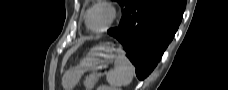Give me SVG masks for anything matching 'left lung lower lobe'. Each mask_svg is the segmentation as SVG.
Listing matches in <instances>:
<instances>
[{"mask_svg": "<svg viewBox=\"0 0 228 90\" xmlns=\"http://www.w3.org/2000/svg\"><path fill=\"white\" fill-rule=\"evenodd\" d=\"M186 0H129L116 28L108 30L127 51L139 79L157 65L181 22Z\"/></svg>", "mask_w": 228, "mask_h": 90, "instance_id": "obj_1", "label": "left lung lower lobe"}]
</instances>
